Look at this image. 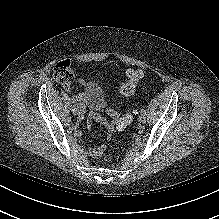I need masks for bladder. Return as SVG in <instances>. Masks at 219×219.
<instances>
[{
    "label": "bladder",
    "mask_w": 219,
    "mask_h": 219,
    "mask_svg": "<svg viewBox=\"0 0 219 219\" xmlns=\"http://www.w3.org/2000/svg\"><path fill=\"white\" fill-rule=\"evenodd\" d=\"M86 95L93 113L97 115L103 113L106 107V98L102 87L97 82H90L86 87Z\"/></svg>",
    "instance_id": "obj_1"
}]
</instances>
